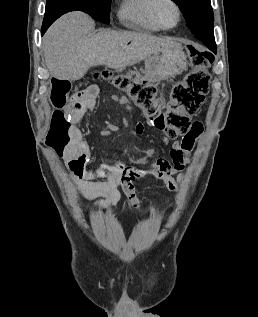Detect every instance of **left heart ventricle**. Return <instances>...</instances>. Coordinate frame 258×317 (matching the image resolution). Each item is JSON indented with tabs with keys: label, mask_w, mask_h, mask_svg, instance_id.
Instances as JSON below:
<instances>
[{
	"label": "left heart ventricle",
	"mask_w": 258,
	"mask_h": 317,
	"mask_svg": "<svg viewBox=\"0 0 258 317\" xmlns=\"http://www.w3.org/2000/svg\"><path fill=\"white\" fill-rule=\"evenodd\" d=\"M157 15L164 24H172L176 19L175 6L170 2L163 3L159 6Z\"/></svg>",
	"instance_id": "obj_1"
}]
</instances>
